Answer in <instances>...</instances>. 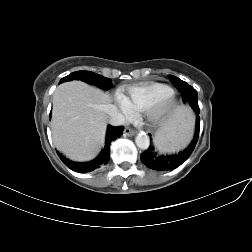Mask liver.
Masks as SVG:
<instances>
[{
    "mask_svg": "<svg viewBox=\"0 0 252 252\" xmlns=\"http://www.w3.org/2000/svg\"><path fill=\"white\" fill-rule=\"evenodd\" d=\"M110 101L108 94L81 81L59 85L53 94L51 121L56 148L75 161L93 159L104 144L105 106Z\"/></svg>",
    "mask_w": 252,
    "mask_h": 252,
    "instance_id": "1",
    "label": "liver"
}]
</instances>
